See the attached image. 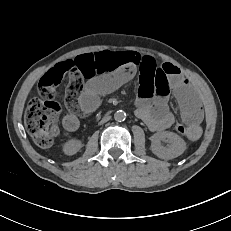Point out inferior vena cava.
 <instances>
[{"mask_svg":"<svg viewBox=\"0 0 231 231\" xmlns=\"http://www.w3.org/2000/svg\"><path fill=\"white\" fill-rule=\"evenodd\" d=\"M109 119H110V117H106V118H104L102 121L105 122V121H107V120H109Z\"/></svg>","mask_w":231,"mask_h":231,"instance_id":"inferior-vena-cava-1","label":"inferior vena cava"}]
</instances>
